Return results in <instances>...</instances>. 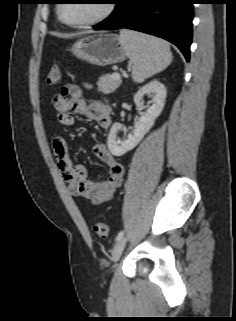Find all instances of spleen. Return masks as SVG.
<instances>
[{
	"label": "spleen",
	"mask_w": 236,
	"mask_h": 321,
	"mask_svg": "<svg viewBox=\"0 0 236 321\" xmlns=\"http://www.w3.org/2000/svg\"><path fill=\"white\" fill-rule=\"evenodd\" d=\"M120 42L133 64L132 75L137 82H143L172 62L170 46L162 39L123 29Z\"/></svg>",
	"instance_id": "3e777b00"
}]
</instances>
